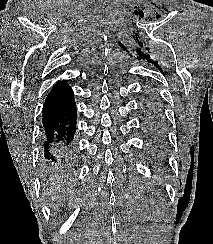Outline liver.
Here are the masks:
<instances>
[{
    "label": "liver",
    "mask_w": 213,
    "mask_h": 244,
    "mask_svg": "<svg viewBox=\"0 0 213 244\" xmlns=\"http://www.w3.org/2000/svg\"><path fill=\"white\" fill-rule=\"evenodd\" d=\"M72 184L66 176H51L46 183L42 198L50 204L52 210H58L68 199Z\"/></svg>",
    "instance_id": "1"
}]
</instances>
